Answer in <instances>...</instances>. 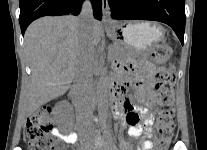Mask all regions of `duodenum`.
I'll return each instance as SVG.
<instances>
[{"mask_svg": "<svg viewBox=\"0 0 207 150\" xmlns=\"http://www.w3.org/2000/svg\"><path fill=\"white\" fill-rule=\"evenodd\" d=\"M108 88H109L112 100L114 102L115 101V93H116V84L114 82H110L108 84ZM77 91H78V87L75 86L74 89H73V93H77Z\"/></svg>", "mask_w": 207, "mask_h": 150, "instance_id": "410a0bca", "label": "duodenum"}]
</instances>
